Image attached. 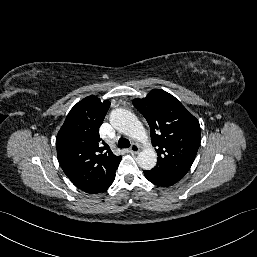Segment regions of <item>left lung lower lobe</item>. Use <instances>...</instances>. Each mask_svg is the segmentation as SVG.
Listing matches in <instances>:
<instances>
[{
  "instance_id": "0a47b994",
  "label": "left lung lower lobe",
  "mask_w": 257,
  "mask_h": 257,
  "mask_svg": "<svg viewBox=\"0 0 257 257\" xmlns=\"http://www.w3.org/2000/svg\"><path fill=\"white\" fill-rule=\"evenodd\" d=\"M144 175L153 184L163 187L171 186L179 181L153 170L144 171Z\"/></svg>"
}]
</instances>
